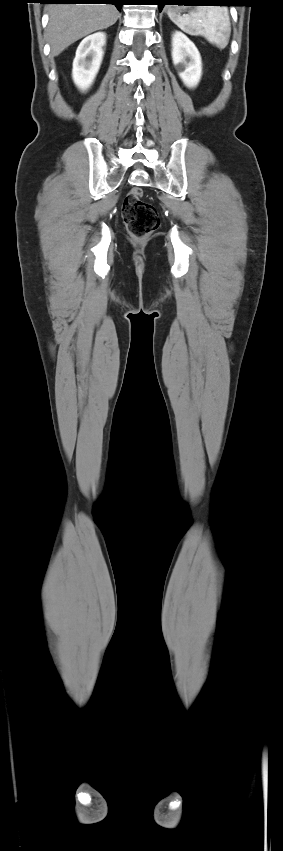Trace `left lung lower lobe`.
Here are the masks:
<instances>
[{"mask_svg": "<svg viewBox=\"0 0 283 851\" xmlns=\"http://www.w3.org/2000/svg\"><path fill=\"white\" fill-rule=\"evenodd\" d=\"M230 0H155L159 5V11L167 4L184 5H228Z\"/></svg>", "mask_w": 283, "mask_h": 851, "instance_id": "0a47b994", "label": "left lung lower lobe"}]
</instances>
